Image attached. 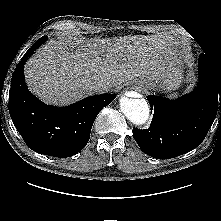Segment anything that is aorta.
Returning a JSON list of instances; mask_svg holds the SVG:
<instances>
[{"mask_svg":"<svg viewBox=\"0 0 221 221\" xmlns=\"http://www.w3.org/2000/svg\"><path fill=\"white\" fill-rule=\"evenodd\" d=\"M120 108L127 119L136 125H143L149 118L150 109L148 103L143 98L132 99L122 96Z\"/></svg>","mask_w":221,"mask_h":221,"instance_id":"1","label":"aorta"}]
</instances>
